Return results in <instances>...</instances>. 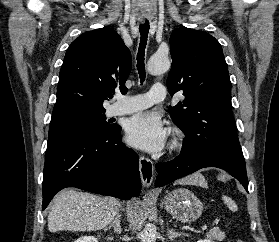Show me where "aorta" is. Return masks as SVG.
Returning <instances> with one entry per match:
<instances>
[{
  "label": "aorta",
  "instance_id": "762f6f07",
  "mask_svg": "<svg viewBox=\"0 0 279 242\" xmlns=\"http://www.w3.org/2000/svg\"><path fill=\"white\" fill-rule=\"evenodd\" d=\"M170 60L166 55L154 54L150 57L147 69L152 75L165 73L170 68ZM156 227L152 224H146L142 231V242H156Z\"/></svg>",
  "mask_w": 279,
  "mask_h": 242
}]
</instances>
